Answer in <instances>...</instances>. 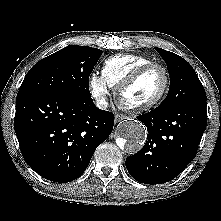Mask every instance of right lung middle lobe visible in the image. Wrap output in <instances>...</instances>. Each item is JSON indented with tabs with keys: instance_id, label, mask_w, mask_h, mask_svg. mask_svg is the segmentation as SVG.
Returning <instances> with one entry per match:
<instances>
[{
	"instance_id": "obj_1",
	"label": "right lung middle lobe",
	"mask_w": 221,
	"mask_h": 221,
	"mask_svg": "<svg viewBox=\"0 0 221 221\" xmlns=\"http://www.w3.org/2000/svg\"><path fill=\"white\" fill-rule=\"evenodd\" d=\"M102 53L92 47L69 45L37 62L25 76L19 91L91 98L89 76Z\"/></svg>"
}]
</instances>
